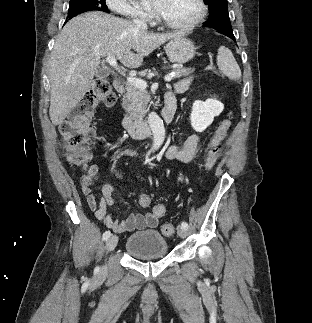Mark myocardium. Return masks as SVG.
Here are the masks:
<instances>
[{"instance_id": "1", "label": "myocardium", "mask_w": 312, "mask_h": 323, "mask_svg": "<svg viewBox=\"0 0 312 323\" xmlns=\"http://www.w3.org/2000/svg\"><path fill=\"white\" fill-rule=\"evenodd\" d=\"M207 0H195L196 4H200V10L196 12V23L199 21H206L211 8L210 3H206ZM160 25H170V27H176L177 31H184L185 27H191L194 23L192 18L187 20H172L171 18H165L162 12L157 14Z\"/></svg>"}]
</instances>
